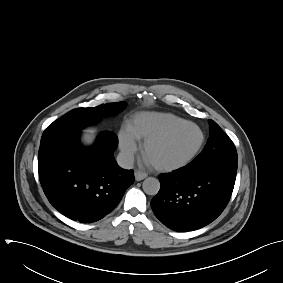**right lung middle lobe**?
<instances>
[{
  "mask_svg": "<svg viewBox=\"0 0 283 283\" xmlns=\"http://www.w3.org/2000/svg\"><path fill=\"white\" fill-rule=\"evenodd\" d=\"M125 108L124 102L107 103L93 108H77L50 124L44 131L40 146L56 138L78 132L99 118L115 114Z\"/></svg>",
  "mask_w": 283,
  "mask_h": 283,
  "instance_id": "right-lung-middle-lobe-1",
  "label": "right lung middle lobe"
}]
</instances>
